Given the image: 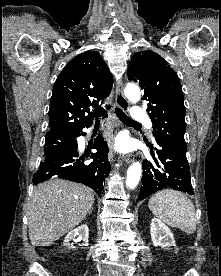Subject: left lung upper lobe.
Masks as SVG:
<instances>
[{"label": "left lung upper lobe", "mask_w": 221, "mask_h": 276, "mask_svg": "<svg viewBox=\"0 0 221 276\" xmlns=\"http://www.w3.org/2000/svg\"><path fill=\"white\" fill-rule=\"evenodd\" d=\"M127 75L144 91L143 99L148 102L147 112L155 128V140L163 139L187 148L182 86L167 61L150 50L135 53Z\"/></svg>", "instance_id": "obj_1"}]
</instances>
